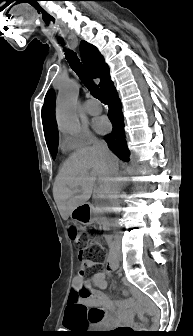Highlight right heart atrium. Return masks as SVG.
Masks as SVG:
<instances>
[{
	"label": "right heart atrium",
	"mask_w": 193,
	"mask_h": 336,
	"mask_svg": "<svg viewBox=\"0 0 193 336\" xmlns=\"http://www.w3.org/2000/svg\"><path fill=\"white\" fill-rule=\"evenodd\" d=\"M95 142V137L86 127L79 128L71 134H64L61 138V146L64 150H81Z\"/></svg>",
	"instance_id": "1"
}]
</instances>
